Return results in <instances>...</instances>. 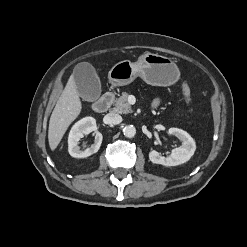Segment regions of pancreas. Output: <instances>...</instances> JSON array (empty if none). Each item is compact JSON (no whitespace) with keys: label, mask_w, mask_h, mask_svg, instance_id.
Here are the masks:
<instances>
[{"label":"pancreas","mask_w":247,"mask_h":247,"mask_svg":"<svg viewBox=\"0 0 247 247\" xmlns=\"http://www.w3.org/2000/svg\"><path fill=\"white\" fill-rule=\"evenodd\" d=\"M128 96L129 95L127 92H123L122 95L118 99H116L113 112L121 114H127L132 112L131 105L127 101Z\"/></svg>","instance_id":"1"}]
</instances>
